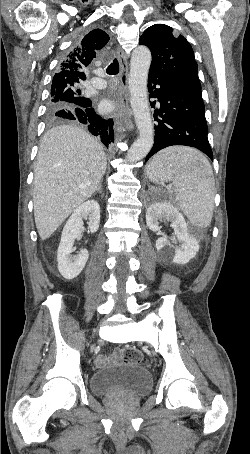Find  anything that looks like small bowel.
<instances>
[{
  "label": "small bowel",
  "mask_w": 250,
  "mask_h": 454,
  "mask_svg": "<svg viewBox=\"0 0 250 454\" xmlns=\"http://www.w3.org/2000/svg\"><path fill=\"white\" fill-rule=\"evenodd\" d=\"M106 361H107V357H105V356H103V355L98 356V358H97V363H99V364H103V363H105Z\"/></svg>",
  "instance_id": "c3829d8e"
}]
</instances>
